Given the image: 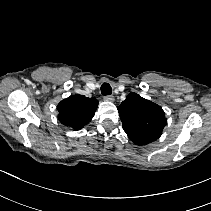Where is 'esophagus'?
Listing matches in <instances>:
<instances>
[{"label": "esophagus", "mask_w": 211, "mask_h": 211, "mask_svg": "<svg viewBox=\"0 0 211 211\" xmlns=\"http://www.w3.org/2000/svg\"><path fill=\"white\" fill-rule=\"evenodd\" d=\"M104 100L105 101H109V102H113L114 101V97L112 95H106V96H104Z\"/></svg>", "instance_id": "obj_1"}]
</instances>
